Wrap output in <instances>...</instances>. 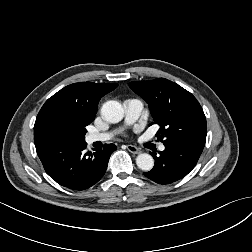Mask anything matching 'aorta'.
Instances as JSON below:
<instances>
[{
  "label": "aorta",
  "mask_w": 252,
  "mask_h": 252,
  "mask_svg": "<svg viewBox=\"0 0 252 252\" xmlns=\"http://www.w3.org/2000/svg\"><path fill=\"white\" fill-rule=\"evenodd\" d=\"M101 115L107 122L117 123L123 119L124 110L118 101L110 100L102 105ZM136 164L141 170L150 171L154 166V159L150 154L142 153L137 156Z\"/></svg>",
  "instance_id": "aorta-1"
}]
</instances>
